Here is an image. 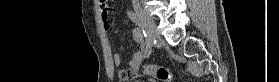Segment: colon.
Instances as JSON below:
<instances>
[{
    "label": "colon",
    "mask_w": 279,
    "mask_h": 82,
    "mask_svg": "<svg viewBox=\"0 0 279 82\" xmlns=\"http://www.w3.org/2000/svg\"><path fill=\"white\" fill-rule=\"evenodd\" d=\"M141 74L152 76L158 79L160 82H174L173 74L164 66L156 64H147L141 71ZM121 76L125 77L124 73Z\"/></svg>",
    "instance_id": "obj_1"
}]
</instances>
